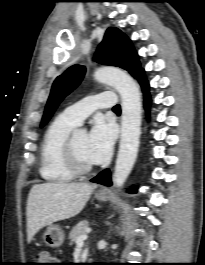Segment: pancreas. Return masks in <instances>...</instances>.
I'll return each instance as SVG.
<instances>
[{
  "label": "pancreas",
  "mask_w": 205,
  "mask_h": 265,
  "mask_svg": "<svg viewBox=\"0 0 205 265\" xmlns=\"http://www.w3.org/2000/svg\"><path fill=\"white\" fill-rule=\"evenodd\" d=\"M88 226V221L83 220L73 227V229L69 233V239L71 240L70 245L76 243L78 237L86 234Z\"/></svg>",
  "instance_id": "pancreas-1"
}]
</instances>
